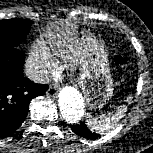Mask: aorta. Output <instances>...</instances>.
Instances as JSON below:
<instances>
[{
  "label": "aorta",
  "instance_id": "1",
  "mask_svg": "<svg viewBox=\"0 0 153 153\" xmlns=\"http://www.w3.org/2000/svg\"><path fill=\"white\" fill-rule=\"evenodd\" d=\"M58 105L63 118L69 123H77L84 115V100L73 87L62 88L58 96Z\"/></svg>",
  "mask_w": 153,
  "mask_h": 153
}]
</instances>
